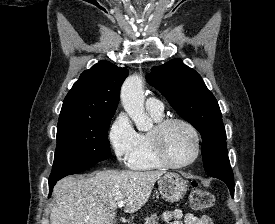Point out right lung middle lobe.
<instances>
[{"mask_svg": "<svg viewBox=\"0 0 275 224\" xmlns=\"http://www.w3.org/2000/svg\"><path fill=\"white\" fill-rule=\"evenodd\" d=\"M112 117L58 122L57 147L49 180L88 169L110 158L107 131Z\"/></svg>", "mask_w": 275, "mask_h": 224, "instance_id": "right-lung-middle-lobe-1", "label": "right lung middle lobe"}]
</instances>
